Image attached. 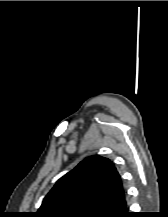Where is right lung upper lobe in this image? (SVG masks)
I'll list each match as a JSON object with an SVG mask.
<instances>
[{"instance_id": "right-lung-upper-lobe-1", "label": "right lung upper lobe", "mask_w": 168, "mask_h": 217, "mask_svg": "<svg viewBox=\"0 0 168 217\" xmlns=\"http://www.w3.org/2000/svg\"><path fill=\"white\" fill-rule=\"evenodd\" d=\"M126 204L122 181L107 158L91 156L61 177L35 217H106Z\"/></svg>"}]
</instances>
